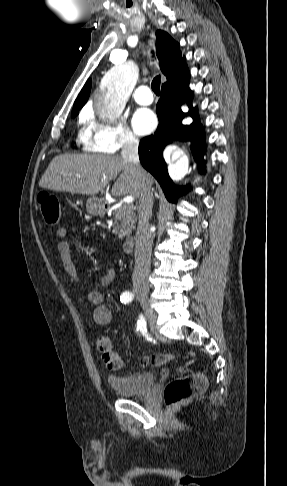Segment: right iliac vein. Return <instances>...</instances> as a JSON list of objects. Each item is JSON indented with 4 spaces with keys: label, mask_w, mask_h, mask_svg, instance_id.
Instances as JSON below:
<instances>
[{
    "label": "right iliac vein",
    "mask_w": 287,
    "mask_h": 486,
    "mask_svg": "<svg viewBox=\"0 0 287 486\" xmlns=\"http://www.w3.org/2000/svg\"><path fill=\"white\" fill-rule=\"evenodd\" d=\"M136 296H137L138 300L140 301V303H141V305H142V307L145 311L146 317L149 321L151 328H154L155 313H154L153 309L150 307L148 293L145 290H138V291H136Z\"/></svg>",
    "instance_id": "1"
}]
</instances>
